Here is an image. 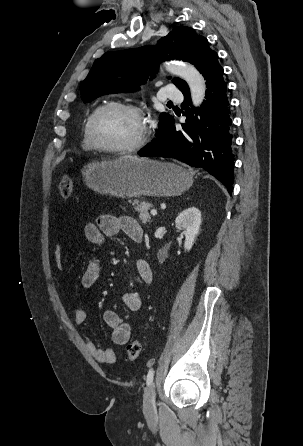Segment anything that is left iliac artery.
Here are the masks:
<instances>
[{
  "label": "left iliac artery",
  "instance_id": "obj_1",
  "mask_svg": "<svg viewBox=\"0 0 303 446\" xmlns=\"http://www.w3.org/2000/svg\"><path fill=\"white\" fill-rule=\"evenodd\" d=\"M153 378H154V370H153V368H151L148 371L147 379H146V382H147L148 386L152 384Z\"/></svg>",
  "mask_w": 303,
  "mask_h": 446
}]
</instances>
